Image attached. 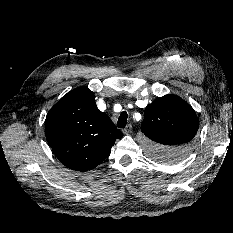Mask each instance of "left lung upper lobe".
I'll return each mask as SVG.
<instances>
[{
  "instance_id": "1",
  "label": "left lung upper lobe",
  "mask_w": 233,
  "mask_h": 233,
  "mask_svg": "<svg viewBox=\"0 0 233 233\" xmlns=\"http://www.w3.org/2000/svg\"><path fill=\"white\" fill-rule=\"evenodd\" d=\"M199 127L195 111L183 99L165 95L147 105L141 131L155 160L174 163L191 150Z\"/></svg>"
}]
</instances>
